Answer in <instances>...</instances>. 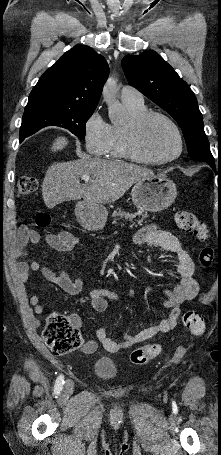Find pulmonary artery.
<instances>
[{"instance_id": "e3ab8cb5", "label": "pulmonary artery", "mask_w": 221, "mask_h": 455, "mask_svg": "<svg viewBox=\"0 0 221 455\" xmlns=\"http://www.w3.org/2000/svg\"><path fill=\"white\" fill-rule=\"evenodd\" d=\"M121 99L124 103L140 106L144 104L143 95L135 87L126 85L121 89Z\"/></svg>"}]
</instances>
